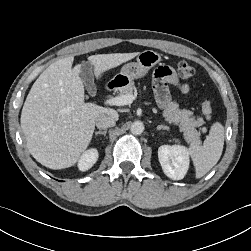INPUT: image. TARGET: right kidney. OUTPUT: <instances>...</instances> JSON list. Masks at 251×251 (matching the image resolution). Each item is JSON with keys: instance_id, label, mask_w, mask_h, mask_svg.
I'll use <instances>...</instances> for the list:
<instances>
[{"instance_id": "obj_1", "label": "right kidney", "mask_w": 251, "mask_h": 251, "mask_svg": "<svg viewBox=\"0 0 251 251\" xmlns=\"http://www.w3.org/2000/svg\"><path fill=\"white\" fill-rule=\"evenodd\" d=\"M98 160V151L95 148L89 149L85 151L79 161H78V168L81 171H86L90 169Z\"/></svg>"}]
</instances>
